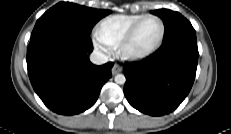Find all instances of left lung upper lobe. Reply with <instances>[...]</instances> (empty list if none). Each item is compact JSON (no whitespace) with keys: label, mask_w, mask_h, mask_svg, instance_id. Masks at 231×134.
<instances>
[{"label":"left lung upper lobe","mask_w":231,"mask_h":134,"mask_svg":"<svg viewBox=\"0 0 231 134\" xmlns=\"http://www.w3.org/2000/svg\"><path fill=\"white\" fill-rule=\"evenodd\" d=\"M151 13L159 16L164 22V42L176 36L195 34V30L191 23L178 12L167 9H159L151 11Z\"/></svg>","instance_id":"1"}]
</instances>
